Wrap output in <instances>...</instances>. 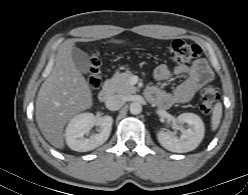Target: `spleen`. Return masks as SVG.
<instances>
[{"mask_svg": "<svg viewBox=\"0 0 248 195\" xmlns=\"http://www.w3.org/2000/svg\"><path fill=\"white\" fill-rule=\"evenodd\" d=\"M221 117H222V104L218 102L215 104L213 108V113L211 118V127L213 131H215L218 128Z\"/></svg>", "mask_w": 248, "mask_h": 195, "instance_id": "3e777b00", "label": "spleen"}]
</instances>
